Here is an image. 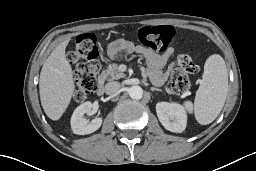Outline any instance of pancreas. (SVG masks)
Instances as JSON below:
<instances>
[{
	"label": "pancreas",
	"mask_w": 256,
	"mask_h": 171,
	"mask_svg": "<svg viewBox=\"0 0 256 171\" xmlns=\"http://www.w3.org/2000/svg\"><path fill=\"white\" fill-rule=\"evenodd\" d=\"M154 74L162 75L161 71H158L156 73H152V77ZM126 75L122 72L119 71V66L116 63L111 64L106 70H104L101 75L100 79L101 80H118L120 78H124ZM165 91L169 94H173L174 92L169 89L168 87H165Z\"/></svg>",
	"instance_id": "obj_1"
}]
</instances>
